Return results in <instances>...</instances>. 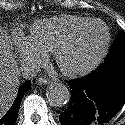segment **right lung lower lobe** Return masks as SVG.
Wrapping results in <instances>:
<instances>
[{
    "label": "right lung lower lobe",
    "instance_id": "right-lung-lower-lobe-1",
    "mask_svg": "<svg viewBox=\"0 0 125 125\" xmlns=\"http://www.w3.org/2000/svg\"><path fill=\"white\" fill-rule=\"evenodd\" d=\"M31 89V82L27 81L19 87L18 95L15 98L14 103L10 107V109L6 112V114L0 119V125H14L17 114L19 111V107L23 98V95Z\"/></svg>",
    "mask_w": 125,
    "mask_h": 125
}]
</instances>
